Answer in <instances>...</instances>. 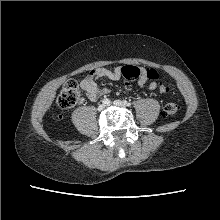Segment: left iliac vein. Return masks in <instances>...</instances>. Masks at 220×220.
<instances>
[{
	"mask_svg": "<svg viewBox=\"0 0 220 220\" xmlns=\"http://www.w3.org/2000/svg\"><path fill=\"white\" fill-rule=\"evenodd\" d=\"M113 104H114L115 106L122 107V108L126 107L125 103L122 102L121 100H115V101L113 102Z\"/></svg>",
	"mask_w": 220,
	"mask_h": 220,
	"instance_id": "obj_1",
	"label": "left iliac vein"
}]
</instances>
